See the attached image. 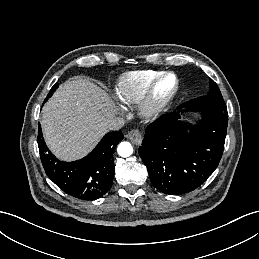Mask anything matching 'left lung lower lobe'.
Listing matches in <instances>:
<instances>
[{
    "label": "left lung lower lobe",
    "mask_w": 259,
    "mask_h": 259,
    "mask_svg": "<svg viewBox=\"0 0 259 259\" xmlns=\"http://www.w3.org/2000/svg\"><path fill=\"white\" fill-rule=\"evenodd\" d=\"M200 110L202 121L187 133L179 113L162 115L145 132L139 155L152 185L165 194L198 188L217 168L224 150L228 124L226 105H180L177 110Z\"/></svg>",
    "instance_id": "1"
}]
</instances>
